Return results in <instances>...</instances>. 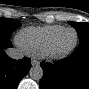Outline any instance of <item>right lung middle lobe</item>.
I'll return each instance as SVG.
<instances>
[{
	"label": "right lung middle lobe",
	"instance_id": "obj_1",
	"mask_svg": "<svg viewBox=\"0 0 89 89\" xmlns=\"http://www.w3.org/2000/svg\"><path fill=\"white\" fill-rule=\"evenodd\" d=\"M21 26L20 21L15 19L0 18V39L10 38L11 34Z\"/></svg>",
	"mask_w": 89,
	"mask_h": 89
}]
</instances>
